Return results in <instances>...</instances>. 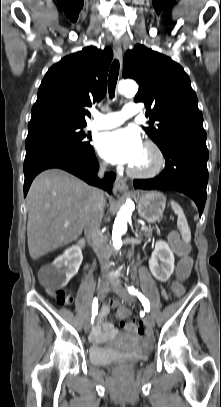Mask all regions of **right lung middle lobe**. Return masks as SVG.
<instances>
[{
    "instance_id": "dd1d6c3e",
    "label": "right lung middle lobe",
    "mask_w": 221,
    "mask_h": 407,
    "mask_svg": "<svg viewBox=\"0 0 221 407\" xmlns=\"http://www.w3.org/2000/svg\"><path fill=\"white\" fill-rule=\"evenodd\" d=\"M84 126L55 123L28 128L25 146L37 141H55L73 147L78 152L89 153L93 150L91 136L82 130Z\"/></svg>"
}]
</instances>
